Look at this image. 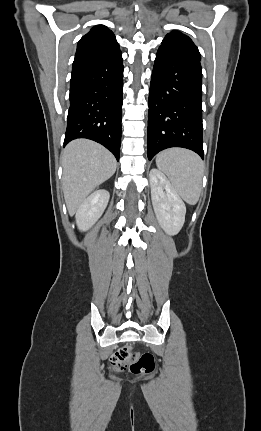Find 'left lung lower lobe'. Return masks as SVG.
I'll list each match as a JSON object with an SVG mask.
<instances>
[{"mask_svg":"<svg viewBox=\"0 0 261 431\" xmlns=\"http://www.w3.org/2000/svg\"><path fill=\"white\" fill-rule=\"evenodd\" d=\"M201 84L200 60L159 47L149 92V160L170 147L190 149L203 159Z\"/></svg>","mask_w":261,"mask_h":431,"instance_id":"left-lung-lower-lobe-1","label":"left lung lower lobe"}]
</instances>
